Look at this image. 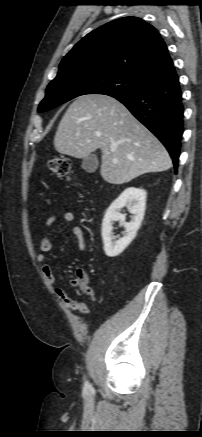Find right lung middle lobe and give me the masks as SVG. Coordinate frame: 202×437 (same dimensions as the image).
<instances>
[{
    "label": "right lung middle lobe",
    "instance_id": "dd1d6c3e",
    "mask_svg": "<svg viewBox=\"0 0 202 437\" xmlns=\"http://www.w3.org/2000/svg\"><path fill=\"white\" fill-rule=\"evenodd\" d=\"M144 80L117 72H87L73 70L57 76L46 89V96L38 112H45L75 97L86 94L112 96L133 92L142 86Z\"/></svg>",
    "mask_w": 202,
    "mask_h": 437
}]
</instances>
